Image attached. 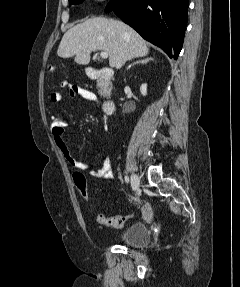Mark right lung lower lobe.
<instances>
[{"mask_svg": "<svg viewBox=\"0 0 240 287\" xmlns=\"http://www.w3.org/2000/svg\"><path fill=\"white\" fill-rule=\"evenodd\" d=\"M189 0H111L105 12L114 11L144 39L177 59L188 20Z\"/></svg>", "mask_w": 240, "mask_h": 287, "instance_id": "obj_1", "label": "right lung lower lobe"}]
</instances>
